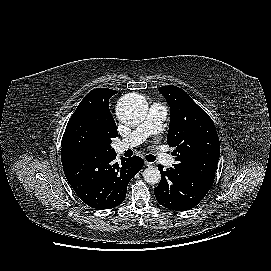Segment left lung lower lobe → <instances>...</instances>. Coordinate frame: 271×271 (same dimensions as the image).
I'll list each match as a JSON object with an SVG mask.
<instances>
[{
  "instance_id": "0a47b994",
  "label": "left lung lower lobe",
  "mask_w": 271,
  "mask_h": 271,
  "mask_svg": "<svg viewBox=\"0 0 271 271\" xmlns=\"http://www.w3.org/2000/svg\"><path fill=\"white\" fill-rule=\"evenodd\" d=\"M158 169L162 176L154 193L157 201L168 209L187 211L198 205L211 188L178 167L163 171V166L158 165Z\"/></svg>"
}]
</instances>
